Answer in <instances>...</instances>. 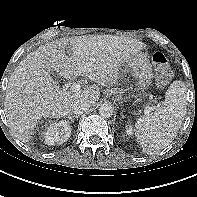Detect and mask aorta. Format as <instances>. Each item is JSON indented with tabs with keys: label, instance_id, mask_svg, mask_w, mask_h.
Masks as SVG:
<instances>
[{
	"label": "aorta",
	"instance_id": "obj_1",
	"mask_svg": "<svg viewBox=\"0 0 197 197\" xmlns=\"http://www.w3.org/2000/svg\"><path fill=\"white\" fill-rule=\"evenodd\" d=\"M113 110L114 109H113V106L111 104H109V103H103L99 107V114L102 117L109 118V117L112 116Z\"/></svg>",
	"mask_w": 197,
	"mask_h": 197
}]
</instances>
